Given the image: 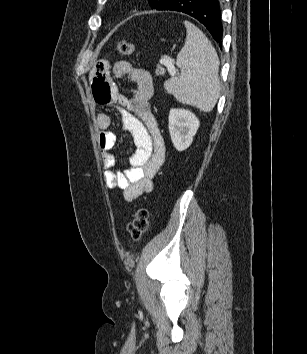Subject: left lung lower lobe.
<instances>
[{"label": "left lung lower lobe", "mask_w": 307, "mask_h": 354, "mask_svg": "<svg viewBox=\"0 0 307 354\" xmlns=\"http://www.w3.org/2000/svg\"><path fill=\"white\" fill-rule=\"evenodd\" d=\"M159 10L179 11L194 17L221 47L223 27L219 0H170Z\"/></svg>", "instance_id": "obj_1"}]
</instances>
